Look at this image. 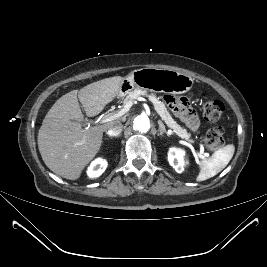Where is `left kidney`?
Returning a JSON list of instances; mask_svg holds the SVG:
<instances>
[{
    "label": "left kidney",
    "mask_w": 267,
    "mask_h": 267,
    "mask_svg": "<svg viewBox=\"0 0 267 267\" xmlns=\"http://www.w3.org/2000/svg\"><path fill=\"white\" fill-rule=\"evenodd\" d=\"M184 155H185V152L181 149H177V148L169 149L168 161L170 165L178 173H182L184 171V166H185Z\"/></svg>",
    "instance_id": "1"
}]
</instances>
